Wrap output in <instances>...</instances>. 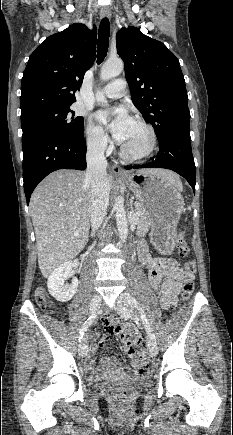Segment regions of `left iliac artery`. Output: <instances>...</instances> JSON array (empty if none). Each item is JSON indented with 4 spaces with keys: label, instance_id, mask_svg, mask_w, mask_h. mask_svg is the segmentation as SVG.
I'll return each mask as SVG.
<instances>
[{
    "label": "left iliac artery",
    "instance_id": "1",
    "mask_svg": "<svg viewBox=\"0 0 233 435\" xmlns=\"http://www.w3.org/2000/svg\"><path fill=\"white\" fill-rule=\"evenodd\" d=\"M124 299L126 300V302L130 306L135 307L139 311V313L141 315V319H142L143 325H144V327L146 329L147 334L149 335V337L152 340H155V335H154V333H153V331H152V329L150 327V324H149V322H148V320L146 318L145 312H144L142 306L140 305V303L132 295H130L128 293L124 294Z\"/></svg>",
    "mask_w": 233,
    "mask_h": 435
}]
</instances>
